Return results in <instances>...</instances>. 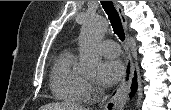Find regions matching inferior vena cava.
Segmentation results:
<instances>
[{
    "label": "inferior vena cava",
    "instance_id": "inferior-vena-cava-1",
    "mask_svg": "<svg viewBox=\"0 0 171 110\" xmlns=\"http://www.w3.org/2000/svg\"><path fill=\"white\" fill-rule=\"evenodd\" d=\"M106 99H107V96L103 97L102 104H100V107H102L104 105V102L106 101Z\"/></svg>",
    "mask_w": 171,
    "mask_h": 110
}]
</instances>
